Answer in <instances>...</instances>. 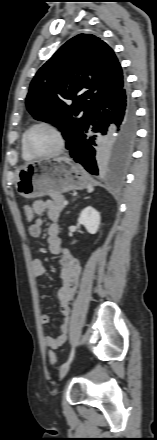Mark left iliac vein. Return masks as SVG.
Segmentation results:
<instances>
[{"mask_svg":"<svg viewBox=\"0 0 157 440\" xmlns=\"http://www.w3.org/2000/svg\"><path fill=\"white\" fill-rule=\"evenodd\" d=\"M70 364H63L60 368V378L62 379L68 372Z\"/></svg>","mask_w":157,"mask_h":440,"instance_id":"1","label":"left iliac vein"}]
</instances>
